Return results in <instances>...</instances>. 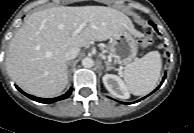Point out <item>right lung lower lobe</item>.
Returning a JSON list of instances; mask_svg holds the SVG:
<instances>
[{"mask_svg":"<svg viewBox=\"0 0 194 133\" xmlns=\"http://www.w3.org/2000/svg\"><path fill=\"white\" fill-rule=\"evenodd\" d=\"M16 88L21 92L23 93L24 95H26L27 97H29L30 99L34 100V101H37V102H40V103H53V102H56V101H59V100H63V99H66L70 96L71 92H72V88H70L68 90V92H66L64 95L62 96H59V97H56V98H52V99H44V98H39V97H35V96H32V95H29V94H26L25 92H23L20 88H18L16 86Z\"/></svg>","mask_w":194,"mask_h":133,"instance_id":"1","label":"right lung lower lobe"}]
</instances>
